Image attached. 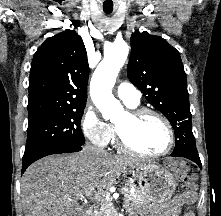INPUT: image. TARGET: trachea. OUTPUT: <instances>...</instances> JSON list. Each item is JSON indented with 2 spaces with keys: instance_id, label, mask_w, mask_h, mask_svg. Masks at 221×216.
Segmentation results:
<instances>
[{
  "instance_id": "obj_1",
  "label": "trachea",
  "mask_w": 221,
  "mask_h": 216,
  "mask_svg": "<svg viewBox=\"0 0 221 216\" xmlns=\"http://www.w3.org/2000/svg\"><path fill=\"white\" fill-rule=\"evenodd\" d=\"M104 12H105L106 14H110L112 11L104 10Z\"/></svg>"
}]
</instances>
